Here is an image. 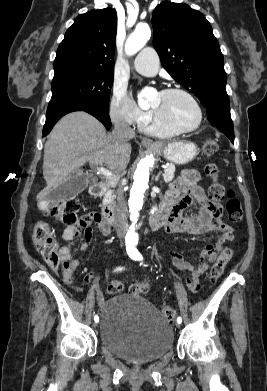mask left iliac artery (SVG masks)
<instances>
[{
	"label": "left iliac artery",
	"instance_id": "44dca946",
	"mask_svg": "<svg viewBox=\"0 0 267 391\" xmlns=\"http://www.w3.org/2000/svg\"><path fill=\"white\" fill-rule=\"evenodd\" d=\"M136 259H139V260H141V259H142V257H141L140 255H138V257H137ZM177 322H178V323H181V322H182V319H181V317H178V318H177Z\"/></svg>",
	"mask_w": 267,
	"mask_h": 391
}]
</instances>
